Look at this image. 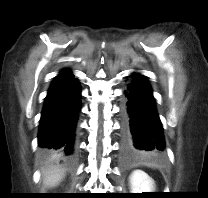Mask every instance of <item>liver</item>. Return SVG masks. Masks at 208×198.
I'll use <instances>...</instances> for the list:
<instances>
[{
  "label": "liver",
  "instance_id": "liver-1",
  "mask_svg": "<svg viewBox=\"0 0 208 198\" xmlns=\"http://www.w3.org/2000/svg\"><path fill=\"white\" fill-rule=\"evenodd\" d=\"M64 177V170L59 167H53L43 171V180L47 187L57 186Z\"/></svg>",
  "mask_w": 208,
  "mask_h": 198
}]
</instances>
